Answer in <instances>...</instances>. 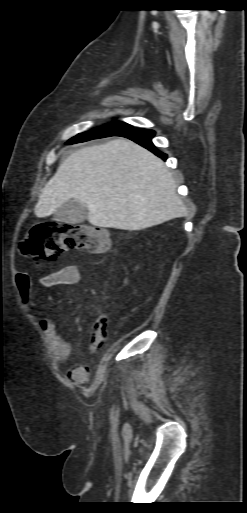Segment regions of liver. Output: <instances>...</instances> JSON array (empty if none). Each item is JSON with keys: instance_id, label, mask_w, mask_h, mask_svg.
Segmentation results:
<instances>
[{"instance_id": "1", "label": "liver", "mask_w": 247, "mask_h": 513, "mask_svg": "<svg viewBox=\"0 0 247 513\" xmlns=\"http://www.w3.org/2000/svg\"><path fill=\"white\" fill-rule=\"evenodd\" d=\"M74 198L99 227L142 230L182 217L186 208L162 160L131 140L117 138L76 150L43 188L35 214L44 218Z\"/></svg>"}]
</instances>
